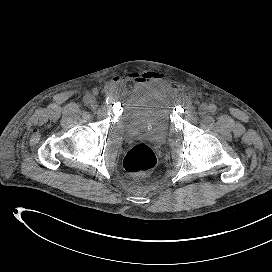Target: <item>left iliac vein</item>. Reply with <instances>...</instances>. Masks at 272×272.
<instances>
[{
  "label": "left iliac vein",
  "instance_id": "4c4485c4",
  "mask_svg": "<svg viewBox=\"0 0 272 272\" xmlns=\"http://www.w3.org/2000/svg\"><path fill=\"white\" fill-rule=\"evenodd\" d=\"M208 111V106L206 104L201 105L199 114L201 116L205 115Z\"/></svg>",
  "mask_w": 272,
  "mask_h": 272
}]
</instances>
